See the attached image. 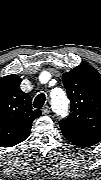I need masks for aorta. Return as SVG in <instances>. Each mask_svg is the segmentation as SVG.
<instances>
[{
	"label": "aorta",
	"instance_id": "obj_1",
	"mask_svg": "<svg viewBox=\"0 0 101 180\" xmlns=\"http://www.w3.org/2000/svg\"><path fill=\"white\" fill-rule=\"evenodd\" d=\"M52 104L58 115L65 116L67 114L68 100L65 96V93L60 88L53 90Z\"/></svg>",
	"mask_w": 101,
	"mask_h": 180
}]
</instances>
